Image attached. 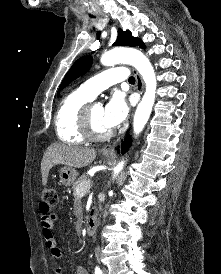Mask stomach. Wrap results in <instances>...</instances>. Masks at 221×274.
Here are the masks:
<instances>
[{
	"label": "stomach",
	"mask_w": 221,
	"mask_h": 274,
	"mask_svg": "<svg viewBox=\"0 0 221 274\" xmlns=\"http://www.w3.org/2000/svg\"><path fill=\"white\" fill-rule=\"evenodd\" d=\"M104 156L106 158L111 157V155H108V154H104ZM59 172H60V175H59L60 182L62 183V185L66 187L71 186L77 177V171L72 167L64 166L60 169Z\"/></svg>",
	"instance_id": "obj_1"
}]
</instances>
